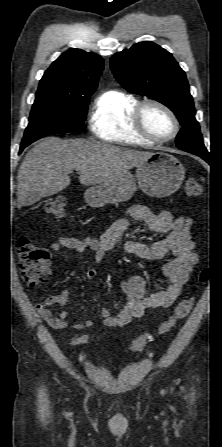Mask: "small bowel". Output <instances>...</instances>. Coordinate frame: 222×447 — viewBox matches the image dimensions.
Returning a JSON list of instances; mask_svg holds the SVG:
<instances>
[{"instance_id": "c3829d8e", "label": "small bowel", "mask_w": 222, "mask_h": 447, "mask_svg": "<svg viewBox=\"0 0 222 447\" xmlns=\"http://www.w3.org/2000/svg\"><path fill=\"white\" fill-rule=\"evenodd\" d=\"M130 220L141 221L150 231L167 234V237L151 245L137 241L118 244L119 239L129 227ZM191 225L192 219L187 215L175 217L168 210L153 212L145 205L136 204L128 209L125 217L117 219L100 238L61 236L50 245V249L53 252L69 249L78 253L91 250L98 263L117 248L145 260L161 259L168 252L174 254V258L162 267V274L167 284L165 289L145 295L144 278L139 275H129L121 282V289L126 299L121 311L112 314L107 308L101 309L100 315L104 326L123 327L133 318L143 316L148 310L170 307L180 296L197 262L196 246L190 234ZM85 275L88 280L93 281L98 275L97 269L88 266L85 269ZM72 296L71 290L62 289L38 302L35 308L47 324L55 330L64 331L70 327L74 330H82L92 327L94 323L91 320L71 325L66 310H61L58 315H54L50 309L52 304L69 305ZM90 341L88 335H79L71 339L73 345L88 344Z\"/></svg>"}]
</instances>
